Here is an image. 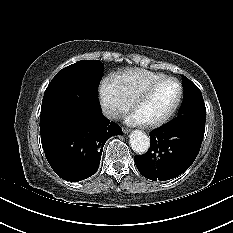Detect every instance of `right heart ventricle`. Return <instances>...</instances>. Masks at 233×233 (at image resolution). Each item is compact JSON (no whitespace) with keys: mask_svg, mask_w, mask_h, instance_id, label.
Instances as JSON below:
<instances>
[{"mask_svg":"<svg viewBox=\"0 0 233 233\" xmlns=\"http://www.w3.org/2000/svg\"><path fill=\"white\" fill-rule=\"evenodd\" d=\"M161 76L163 75L152 71L132 68L116 74L114 80L123 93L131 99L149 82Z\"/></svg>","mask_w":233,"mask_h":233,"instance_id":"right-heart-ventricle-1","label":"right heart ventricle"}]
</instances>
